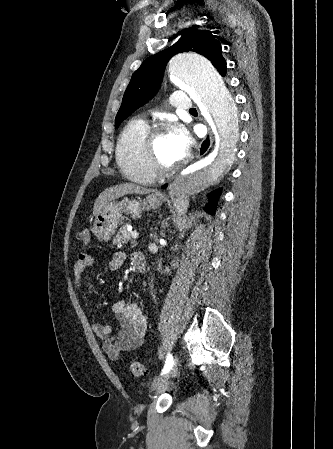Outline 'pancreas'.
Instances as JSON below:
<instances>
[{
	"mask_svg": "<svg viewBox=\"0 0 333 449\" xmlns=\"http://www.w3.org/2000/svg\"><path fill=\"white\" fill-rule=\"evenodd\" d=\"M131 240V232L127 230V225L122 226L113 241V244L117 246H123Z\"/></svg>",
	"mask_w": 333,
	"mask_h": 449,
	"instance_id": "pancreas-1",
	"label": "pancreas"
}]
</instances>
